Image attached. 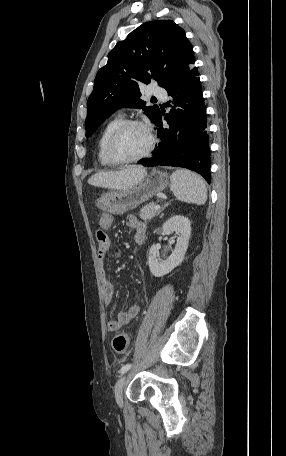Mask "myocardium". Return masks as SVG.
<instances>
[{
	"label": "myocardium",
	"instance_id": "1",
	"mask_svg": "<svg viewBox=\"0 0 286 456\" xmlns=\"http://www.w3.org/2000/svg\"><path fill=\"white\" fill-rule=\"evenodd\" d=\"M130 126H140V127L144 128L149 137V145H148L146 151L142 155L135 157V158H131V159H121V158H118L114 153V150H113L114 144H115V141L117 140L118 136L126 128H128ZM155 145H156L155 134L153 132L152 127L147 122L142 121V120H137V119H126V120H123L113 130V132L109 136L107 143H106V155H107L108 159L116 165H125V164L136 163V162H139V161L147 158L148 156H150L155 148Z\"/></svg>",
	"mask_w": 286,
	"mask_h": 456
}]
</instances>
